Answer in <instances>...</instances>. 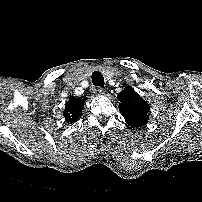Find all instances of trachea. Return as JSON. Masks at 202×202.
<instances>
[{
  "label": "trachea",
  "instance_id": "3493384b",
  "mask_svg": "<svg viewBox=\"0 0 202 202\" xmlns=\"http://www.w3.org/2000/svg\"><path fill=\"white\" fill-rule=\"evenodd\" d=\"M92 83L95 86L104 87L105 83L103 75L98 71H94L92 73Z\"/></svg>",
  "mask_w": 202,
  "mask_h": 202
}]
</instances>
